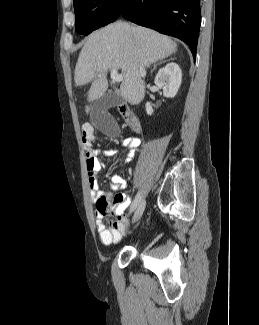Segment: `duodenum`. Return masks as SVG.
Listing matches in <instances>:
<instances>
[{"label": "duodenum", "mask_w": 259, "mask_h": 325, "mask_svg": "<svg viewBox=\"0 0 259 325\" xmlns=\"http://www.w3.org/2000/svg\"><path fill=\"white\" fill-rule=\"evenodd\" d=\"M119 113L126 122V124L136 133L141 130L140 121L130 107L125 103L118 105Z\"/></svg>", "instance_id": "410a0bca"}]
</instances>
